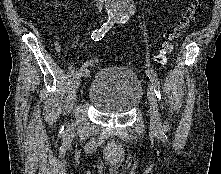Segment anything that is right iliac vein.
<instances>
[{
	"instance_id": "1",
	"label": "right iliac vein",
	"mask_w": 221,
	"mask_h": 174,
	"mask_svg": "<svg viewBox=\"0 0 221 174\" xmlns=\"http://www.w3.org/2000/svg\"><path fill=\"white\" fill-rule=\"evenodd\" d=\"M81 75H82L81 72L78 71V72H76V74H75V76H74L73 88H74L75 91H76V90L79 88V86H80Z\"/></svg>"
}]
</instances>
